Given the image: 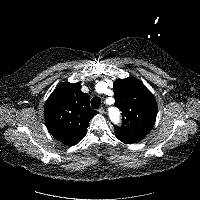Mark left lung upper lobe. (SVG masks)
I'll list each match as a JSON object with an SVG mask.
<instances>
[{
  "mask_svg": "<svg viewBox=\"0 0 200 200\" xmlns=\"http://www.w3.org/2000/svg\"><path fill=\"white\" fill-rule=\"evenodd\" d=\"M115 105L122 111V125L115 135L123 143L142 140L153 128L157 102L151 92L136 78L119 79L113 84Z\"/></svg>",
  "mask_w": 200,
  "mask_h": 200,
  "instance_id": "5c2ea615",
  "label": "left lung upper lobe"
}]
</instances>
